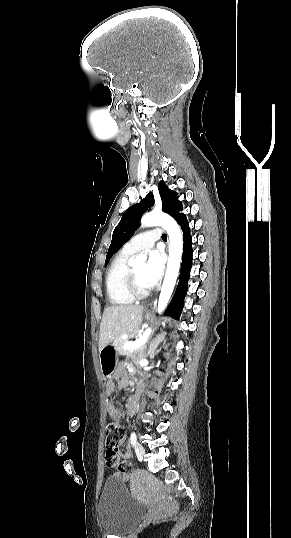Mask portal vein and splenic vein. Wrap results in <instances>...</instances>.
<instances>
[{"label":"portal vein and splenic vein","instance_id":"18ae733b","mask_svg":"<svg viewBox=\"0 0 291 538\" xmlns=\"http://www.w3.org/2000/svg\"><path fill=\"white\" fill-rule=\"evenodd\" d=\"M151 333H152V330L149 328L141 336H139L135 341H127L123 347L125 349L139 348L147 342L148 337Z\"/></svg>","mask_w":291,"mask_h":538}]
</instances>
